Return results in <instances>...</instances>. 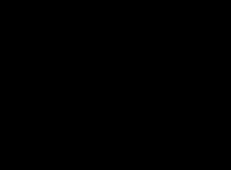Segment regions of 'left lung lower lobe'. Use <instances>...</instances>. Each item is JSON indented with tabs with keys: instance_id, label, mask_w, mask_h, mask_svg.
Here are the masks:
<instances>
[{
	"instance_id": "1",
	"label": "left lung lower lobe",
	"mask_w": 231,
	"mask_h": 170,
	"mask_svg": "<svg viewBox=\"0 0 231 170\" xmlns=\"http://www.w3.org/2000/svg\"><path fill=\"white\" fill-rule=\"evenodd\" d=\"M135 125L133 129L135 142L144 150L156 154H170L179 150L197 132L196 124L160 133L158 124L164 119L154 99L143 100L134 107Z\"/></svg>"
}]
</instances>
